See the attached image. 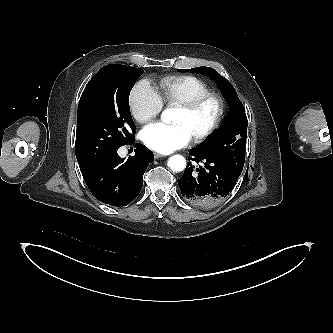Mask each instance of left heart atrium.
I'll return each instance as SVG.
<instances>
[{
  "label": "left heart atrium",
  "mask_w": 333,
  "mask_h": 333,
  "mask_svg": "<svg viewBox=\"0 0 333 333\" xmlns=\"http://www.w3.org/2000/svg\"><path fill=\"white\" fill-rule=\"evenodd\" d=\"M140 136L145 146L164 154L187 146L192 138L185 125H167L161 122L147 125Z\"/></svg>",
  "instance_id": "39dd6f15"
}]
</instances>
